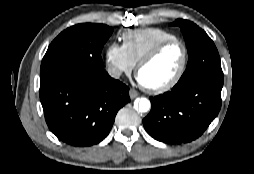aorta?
Wrapping results in <instances>:
<instances>
[{
	"label": "aorta",
	"mask_w": 254,
	"mask_h": 174,
	"mask_svg": "<svg viewBox=\"0 0 254 174\" xmlns=\"http://www.w3.org/2000/svg\"><path fill=\"white\" fill-rule=\"evenodd\" d=\"M134 107L139 112L145 113V112L150 110L151 103L147 98L142 97V98H138V99L135 100Z\"/></svg>",
	"instance_id": "aorta-1"
}]
</instances>
